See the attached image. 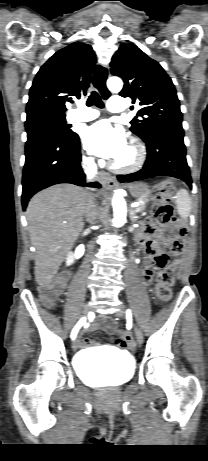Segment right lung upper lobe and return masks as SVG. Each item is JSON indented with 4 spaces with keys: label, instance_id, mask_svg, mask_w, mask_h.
<instances>
[{
    "label": "right lung upper lobe",
    "instance_id": "cb5924a9",
    "mask_svg": "<svg viewBox=\"0 0 208 461\" xmlns=\"http://www.w3.org/2000/svg\"><path fill=\"white\" fill-rule=\"evenodd\" d=\"M96 56L92 47L74 42L40 68L30 88L27 116H65L72 96L86 95Z\"/></svg>",
    "mask_w": 208,
    "mask_h": 461
}]
</instances>
